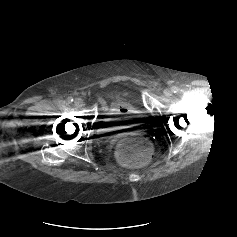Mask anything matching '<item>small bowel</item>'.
<instances>
[{
    "mask_svg": "<svg viewBox=\"0 0 237 237\" xmlns=\"http://www.w3.org/2000/svg\"><path fill=\"white\" fill-rule=\"evenodd\" d=\"M102 107L105 111L111 113V112H124L126 111L123 107L117 106L115 108H108L106 103L104 101H101Z\"/></svg>",
    "mask_w": 237,
    "mask_h": 237,
    "instance_id": "1",
    "label": "small bowel"
}]
</instances>
